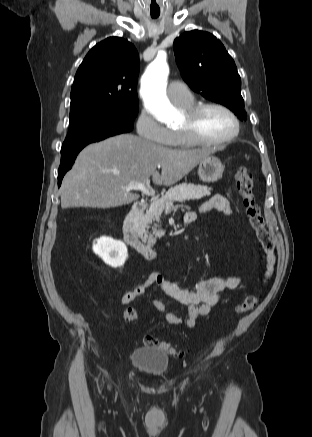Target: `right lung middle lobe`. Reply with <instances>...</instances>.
<instances>
[{"label": "right lung middle lobe", "instance_id": "obj_1", "mask_svg": "<svg viewBox=\"0 0 312 437\" xmlns=\"http://www.w3.org/2000/svg\"><path fill=\"white\" fill-rule=\"evenodd\" d=\"M138 113V103H86L71 107L69 132L61 153L107 137L130 132Z\"/></svg>", "mask_w": 312, "mask_h": 437}]
</instances>
